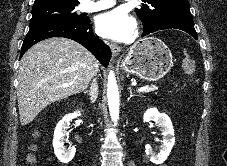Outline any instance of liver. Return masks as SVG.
<instances>
[{
    "mask_svg": "<svg viewBox=\"0 0 227 166\" xmlns=\"http://www.w3.org/2000/svg\"><path fill=\"white\" fill-rule=\"evenodd\" d=\"M98 69L97 59L71 39L55 37L31 47L19 67L21 125L32 122L49 104L86 90Z\"/></svg>",
    "mask_w": 227,
    "mask_h": 166,
    "instance_id": "liver-1",
    "label": "liver"
}]
</instances>
